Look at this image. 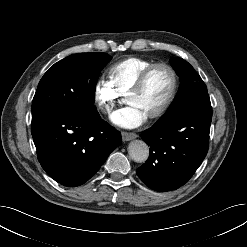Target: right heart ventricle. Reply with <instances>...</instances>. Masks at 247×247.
Returning <instances> with one entry per match:
<instances>
[{
  "instance_id": "right-heart-ventricle-1",
  "label": "right heart ventricle",
  "mask_w": 247,
  "mask_h": 247,
  "mask_svg": "<svg viewBox=\"0 0 247 247\" xmlns=\"http://www.w3.org/2000/svg\"><path fill=\"white\" fill-rule=\"evenodd\" d=\"M151 64L152 61L140 57L123 59L109 69V83L119 95H126L142 71Z\"/></svg>"
}]
</instances>
